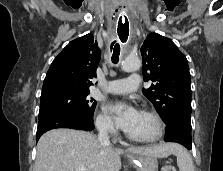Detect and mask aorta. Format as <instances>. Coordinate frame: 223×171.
<instances>
[{
    "label": "aorta",
    "mask_w": 223,
    "mask_h": 171,
    "mask_svg": "<svg viewBox=\"0 0 223 171\" xmlns=\"http://www.w3.org/2000/svg\"><path fill=\"white\" fill-rule=\"evenodd\" d=\"M141 61L138 57H127L122 63V70L124 72H133L140 68Z\"/></svg>",
    "instance_id": "aorta-1"
}]
</instances>
